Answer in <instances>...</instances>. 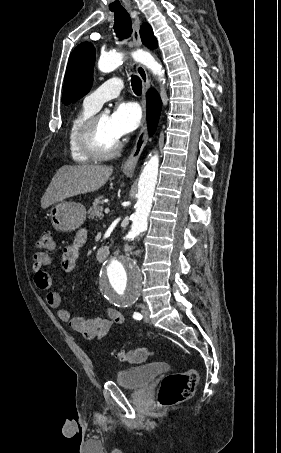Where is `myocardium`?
<instances>
[{"label":"myocardium","instance_id":"myocardium-1","mask_svg":"<svg viewBox=\"0 0 281 453\" xmlns=\"http://www.w3.org/2000/svg\"><path fill=\"white\" fill-rule=\"evenodd\" d=\"M104 114L94 115L83 127L80 133V147L88 157L98 160L111 159L119 154L123 142L119 139L112 149L103 150L98 142V127Z\"/></svg>","mask_w":281,"mask_h":453}]
</instances>
